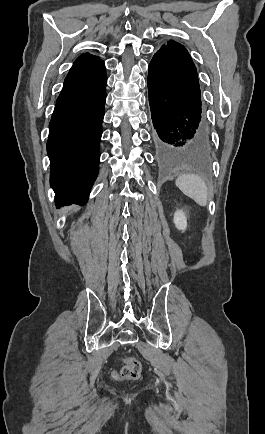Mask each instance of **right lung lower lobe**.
Instances as JSON below:
<instances>
[{"label": "right lung lower lobe", "mask_w": 265, "mask_h": 434, "mask_svg": "<svg viewBox=\"0 0 265 434\" xmlns=\"http://www.w3.org/2000/svg\"><path fill=\"white\" fill-rule=\"evenodd\" d=\"M105 99L104 62L82 54L65 78L49 124L50 184L57 206L87 202L98 174Z\"/></svg>", "instance_id": "1"}]
</instances>
